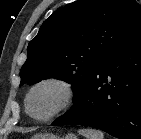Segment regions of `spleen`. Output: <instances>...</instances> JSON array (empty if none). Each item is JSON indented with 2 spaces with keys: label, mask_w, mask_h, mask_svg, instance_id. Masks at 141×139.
<instances>
[{
  "label": "spleen",
  "mask_w": 141,
  "mask_h": 139,
  "mask_svg": "<svg viewBox=\"0 0 141 139\" xmlns=\"http://www.w3.org/2000/svg\"><path fill=\"white\" fill-rule=\"evenodd\" d=\"M79 133L86 139H104L103 132L95 129H80Z\"/></svg>",
  "instance_id": "3e777b00"
}]
</instances>
